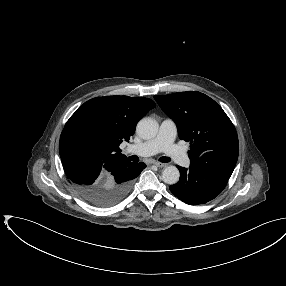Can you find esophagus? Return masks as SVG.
Instances as JSON below:
<instances>
[{
    "instance_id": "obj_1",
    "label": "esophagus",
    "mask_w": 286,
    "mask_h": 286,
    "mask_svg": "<svg viewBox=\"0 0 286 286\" xmlns=\"http://www.w3.org/2000/svg\"><path fill=\"white\" fill-rule=\"evenodd\" d=\"M153 164H154V165H156L157 167H160V168H162V167H165V166H166V164H164V163H160V162H153Z\"/></svg>"
}]
</instances>
